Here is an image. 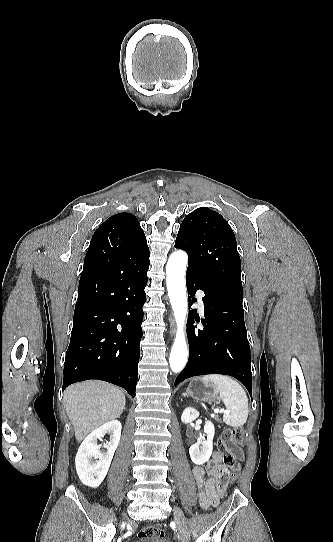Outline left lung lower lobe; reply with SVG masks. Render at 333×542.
<instances>
[{"instance_id": "1", "label": "left lung lower lobe", "mask_w": 333, "mask_h": 542, "mask_svg": "<svg viewBox=\"0 0 333 542\" xmlns=\"http://www.w3.org/2000/svg\"><path fill=\"white\" fill-rule=\"evenodd\" d=\"M189 307L196 301V290L205 293L203 329L194 326L200 321L196 309L189 311L187 336L189 359L178 375L175 385L198 375L224 374L238 379L252 397L250 346L244 323L242 294L227 288L206 285L194 274L186 273Z\"/></svg>"}]
</instances>
